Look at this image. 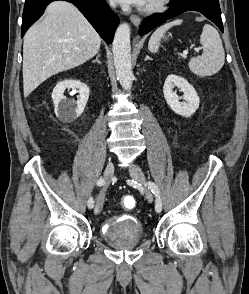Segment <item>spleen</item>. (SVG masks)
I'll use <instances>...</instances> for the list:
<instances>
[{"label": "spleen", "mask_w": 249, "mask_h": 294, "mask_svg": "<svg viewBox=\"0 0 249 294\" xmlns=\"http://www.w3.org/2000/svg\"><path fill=\"white\" fill-rule=\"evenodd\" d=\"M181 23V19H176L158 27L150 37L149 50L156 53L163 34L172 26ZM200 43L203 47V54L190 59L189 69L200 77L214 75L223 67L225 62V52L218 31L213 26L206 24L200 36Z\"/></svg>", "instance_id": "1"}]
</instances>
